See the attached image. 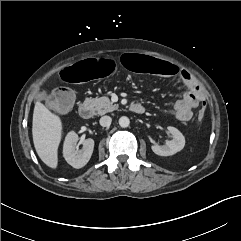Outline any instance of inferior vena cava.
Instances as JSON below:
<instances>
[{
    "label": "inferior vena cava",
    "instance_id": "1",
    "mask_svg": "<svg viewBox=\"0 0 241 241\" xmlns=\"http://www.w3.org/2000/svg\"><path fill=\"white\" fill-rule=\"evenodd\" d=\"M99 122H100V125L102 127H107V126H109L111 124L112 119H111L110 116H103V117L100 118Z\"/></svg>",
    "mask_w": 241,
    "mask_h": 241
}]
</instances>
